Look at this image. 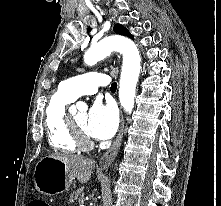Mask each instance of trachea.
I'll use <instances>...</instances> for the list:
<instances>
[{
  "mask_svg": "<svg viewBox=\"0 0 221 206\" xmlns=\"http://www.w3.org/2000/svg\"><path fill=\"white\" fill-rule=\"evenodd\" d=\"M116 89H117V83H112L111 84V91H116Z\"/></svg>",
  "mask_w": 221,
  "mask_h": 206,
  "instance_id": "obj_1",
  "label": "trachea"
}]
</instances>
